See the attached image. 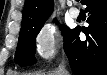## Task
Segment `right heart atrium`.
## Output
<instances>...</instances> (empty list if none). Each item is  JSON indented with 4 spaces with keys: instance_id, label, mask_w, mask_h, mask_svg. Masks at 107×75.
I'll list each match as a JSON object with an SVG mask.
<instances>
[{
    "instance_id": "d8ad5b80",
    "label": "right heart atrium",
    "mask_w": 107,
    "mask_h": 75,
    "mask_svg": "<svg viewBox=\"0 0 107 75\" xmlns=\"http://www.w3.org/2000/svg\"><path fill=\"white\" fill-rule=\"evenodd\" d=\"M61 45L60 33L56 25L50 21L44 23L35 35V49L43 61L51 60Z\"/></svg>"
}]
</instances>
